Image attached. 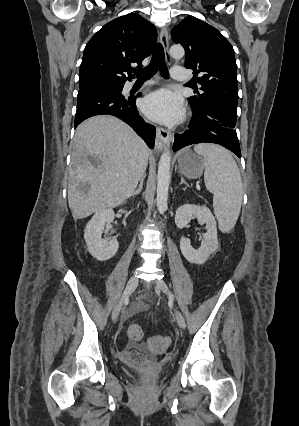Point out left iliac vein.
I'll return each mask as SVG.
<instances>
[{"label": "left iliac vein", "mask_w": 299, "mask_h": 426, "mask_svg": "<svg viewBox=\"0 0 299 426\" xmlns=\"http://www.w3.org/2000/svg\"><path fill=\"white\" fill-rule=\"evenodd\" d=\"M155 288L157 290H161L162 292H164L166 294H169L168 286L165 283V281H163V280L156 281ZM175 318H176V321H177V324L179 325V327L184 329L186 327L185 319H184L182 313L178 309H175Z\"/></svg>", "instance_id": "left-iliac-vein-1"}]
</instances>
